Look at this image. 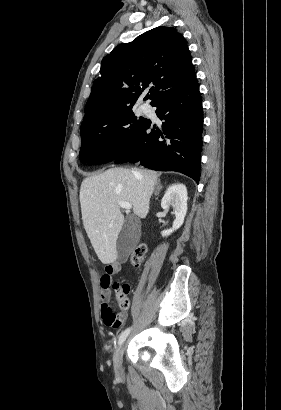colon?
<instances>
[{
	"instance_id": "5ec220e1",
	"label": "colon",
	"mask_w": 281,
	"mask_h": 410,
	"mask_svg": "<svg viewBox=\"0 0 281 410\" xmlns=\"http://www.w3.org/2000/svg\"><path fill=\"white\" fill-rule=\"evenodd\" d=\"M146 253L147 246L145 244H139L130 256L131 264L135 267L140 266L146 256ZM113 289L115 291L119 307L123 310L127 309L129 307V285L126 283L115 282L113 284ZM103 320L105 324L110 327H118L122 322L121 315L114 312L110 307L105 310Z\"/></svg>"
}]
</instances>
